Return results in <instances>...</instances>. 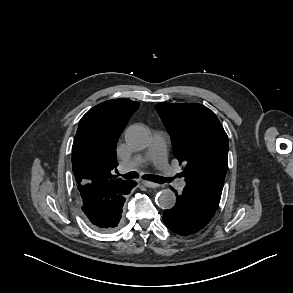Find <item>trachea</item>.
Here are the masks:
<instances>
[{"mask_svg": "<svg viewBox=\"0 0 293 293\" xmlns=\"http://www.w3.org/2000/svg\"><path fill=\"white\" fill-rule=\"evenodd\" d=\"M124 178L126 179H132V178H136L138 177V173L137 172H129L125 175H123ZM146 179L152 180V181H156L159 183H165V182H169L170 180L161 176H156V175H146L145 176Z\"/></svg>", "mask_w": 293, "mask_h": 293, "instance_id": "trachea-1", "label": "trachea"}]
</instances>
